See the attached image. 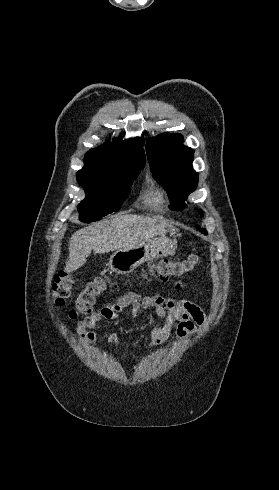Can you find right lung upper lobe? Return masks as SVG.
Segmentation results:
<instances>
[{"label": "right lung upper lobe", "instance_id": "obj_1", "mask_svg": "<svg viewBox=\"0 0 279 490\" xmlns=\"http://www.w3.org/2000/svg\"><path fill=\"white\" fill-rule=\"evenodd\" d=\"M143 138L128 139L122 142L113 140L91 149L85 155L84 167L77 175L106 177L124 169L143 168L145 154L142 148Z\"/></svg>", "mask_w": 279, "mask_h": 490}]
</instances>
